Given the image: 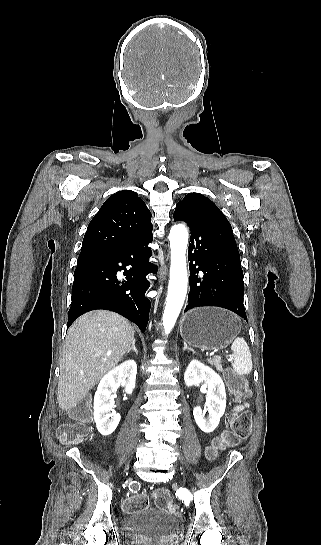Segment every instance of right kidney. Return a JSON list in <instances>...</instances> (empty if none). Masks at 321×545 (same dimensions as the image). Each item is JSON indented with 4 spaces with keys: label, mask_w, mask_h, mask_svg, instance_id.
Returning a JSON list of instances; mask_svg holds the SVG:
<instances>
[{
    "label": "right kidney",
    "mask_w": 321,
    "mask_h": 545,
    "mask_svg": "<svg viewBox=\"0 0 321 545\" xmlns=\"http://www.w3.org/2000/svg\"><path fill=\"white\" fill-rule=\"evenodd\" d=\"M136 375L135 361H125L101 379L94 397L93 415L96 427L104 437L111 435L120 421L119 413L114 411L116 395H112V393H116L122 385L125 393L131 395L135 389Z\"/></svg>",
    "instance_id": "right-kidney-1"
}]
</instances>
